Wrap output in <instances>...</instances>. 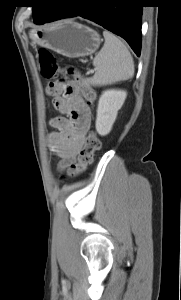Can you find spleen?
<instances>
[{
  "instance_id": "spleen-1",
  "label": "spleen",
  "mask_w": 181,
  "mask_h": 300,
  "mask_svg": "<svg viewBox=\"0 0 181 300\" xmlns=\"http://www.w3.org/2000/svg\"><path fill=\"white\" fill-rule=\"evenodd\" d=\"M105 43L95 56V74L85 82L92 86H106L127 80L134 75V61L126 45L114 34L103 31Z\"/></svg>"
}]
</instances>
